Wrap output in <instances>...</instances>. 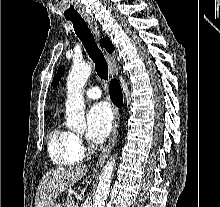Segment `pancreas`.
I'll return each instance as SVG.
<instances>
[{"mask_svg": "<svg viewBox=\"0 0 220 207\" xmlns=\"http://www.w3.org/2000/svg\"><path fill=\"white\" fill-rule=\"evenodd\" d=\"M73 202H74V200H73L72 196L69 195L66 199L65 206L72 207Z\"/></svg>", "mask_w": 220, "mask_h": 207, "instance_id": "cf45deb5", "label": "pancreas"}]
</instances>
